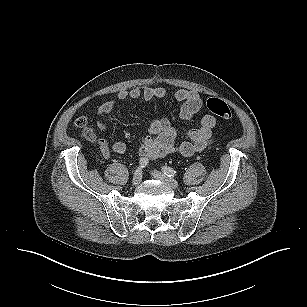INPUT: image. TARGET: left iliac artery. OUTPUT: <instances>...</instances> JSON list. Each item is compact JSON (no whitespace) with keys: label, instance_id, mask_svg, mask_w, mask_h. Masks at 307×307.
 I'll list each match as a JSON object with an SVG mask.
<instances>
[{"label":"left iliac artery","instance_id":"1","mask_svg":"<svg viewBox=\"0 0 307 307\" xmlns=\"http://www.w3.org/2000/svg\"><path fill=\"white\" fill-rule=\"evenodd\" d=\"M162 171L164 172V174H166L168 177H174L177 175V172L172 169L171 167H167V166H163L162 167Z\"/></svg>","mask_w":307,"mask_h":307}]
</instances>
